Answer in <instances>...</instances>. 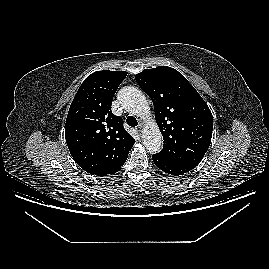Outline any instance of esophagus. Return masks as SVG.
Masks as SVG:
<instances>
[{
    "label": "esophagus",
    "mask_w": 269,
    "mask_h": 269,
    "mask_svg": "<svg viewBox=\"0 0 269 269\" xmlns=\"http://www.w3.org/2000/svg\"><path fill=\"white\" fill-rule=\"evenodd\" d=\"M142 128H143V124L142 123H139L138 126L136 127V129H137L138 132H141L142 131Z\"/></svg>",
    "instance_id": "obj_1"
}]
</instances>
